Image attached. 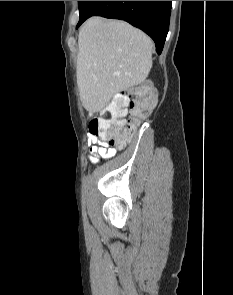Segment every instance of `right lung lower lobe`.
<instances>
[{"instance_id": "98d812e1", "label": "right lung lower lobe", "mask_w": 233, "mask_h": 295, "mask_svg": "<svg viewBox=\"0 0 233 295\" xmlns=\"http://www.w3.org/2000/svg\"><path fill=\"white\" fill-rule=\"evenodd\" d=\"M172 1H89L77 28L89 17L98 15L121 19L147 33L161 54L169 29Z\"/></svg>"}]
</instances>
